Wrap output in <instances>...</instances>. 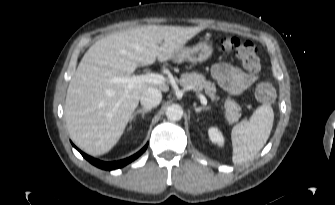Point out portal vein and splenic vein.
<instances>
[{
  "instance_id": "obj_1",
  "label": "portal vein and splenic vein",
  "mask_w": 335,
  "mask_h": 205,
  "mask_svg": "<svg viewBox=\"0 0 335 205\" xmlns=\"http://www.w3.org/2000/svg\"><path fill=\"white\" fill-rule=\"evenodd\" d=\"M116 83H126L128 84V87H132L134 84H139V83H153L156 85H161L165 83V78L156 73H146V74H141V75H133L130 77H117L114 79ZM198 97L200 99L201 104L206 105L207 104V99L206 97L198 93Z\"/></svg>"
}]
</instances>
